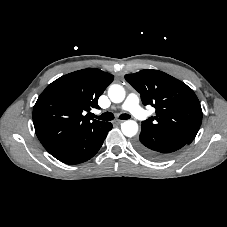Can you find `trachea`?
Segmentation results:
<instances>
[{
  "label": "trachea",
  "instance_id": "1",
  "mask_svg": "<svg viewBox=\"0 0 227 227\" xmlns=\"http://www.w3.org/2000/svg\"><path fill=\"white\" fill-rule=\"evenodd\" d=\"M97 119L103 120V121H110L114 119V115L111 112H105L100 116H96ZM130 115L128 114H121L119 116V119L126 120L129 119Z\"/></svg>",
  "mask_w": 227,
  "mask_h": 227
}]
</instances>
